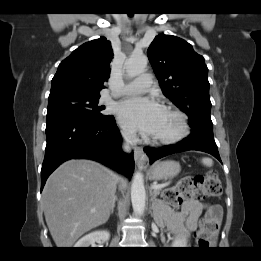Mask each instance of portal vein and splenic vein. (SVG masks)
<instances>
[{
  "label": "portal vein and splenic vein",
  "instance_id": "portal-vein-and-splenic-vein-1",
  "mask_svg": "<svg viewBox=\"0 0 261 261\" xmlns=\"http://www.w3.org/2000/svg\"><path fill=\"white\" fill-rule=\"evenodd\" d=\"M167 185H168V183L156 184V185H152L151 189H159V188H163V187H165Z\"/></svg>",
  "mask_w": 261,
  "mask_h": 261
}]
</instances>
